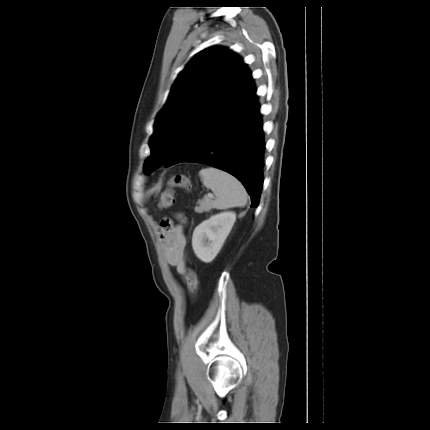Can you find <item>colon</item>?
<instances>
[{"label":"colon","mask_w":430,"mask_h":430,"mask_svg":"<svg viewBox=\"0 0 430 430\" xmlns=\"http://www.w3.org/2000/svg\"><path fill=\"white\" fill-rule=\"evenodd\" d=\"M170 188L164 191L159 198L158 206L160 209H168L170 208L174 202H175V196H174V187H180L186 190L190 189V183L186 176L184 175H175L172 177V179L169 182ZM186 278H187V284H188V290L190 293V296L192 298H195L197 291H198V277L196 272L189 268L186 270Z\"/></svg>","instance_id":"5ec220e1"}]
</instances>
